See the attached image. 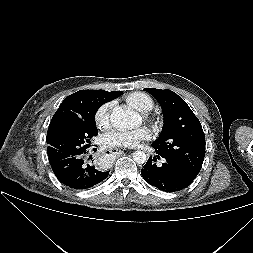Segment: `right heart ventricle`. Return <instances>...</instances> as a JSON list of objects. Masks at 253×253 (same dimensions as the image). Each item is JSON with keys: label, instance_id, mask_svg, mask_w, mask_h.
Here are the masks:
<instances>
[{"label": "right heart ventricle", "instance_id": "obj_1", "mask_svg": "<svg viewBox=\"0 0 253 253\" xmlns=\"http://www.w3.org/2000/svg\"><path fill=\"white\" fill-rule=\"evenodd\" d=\"M126 101L142 113H148L154 108V100L144 92H132L126 96Z\"/></svg>", "mask_w": 253, "mask_h": 253}]
</instances>
